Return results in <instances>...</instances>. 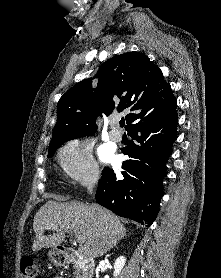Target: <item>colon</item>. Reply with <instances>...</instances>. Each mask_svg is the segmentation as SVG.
<instances>
[{"instance_id":"1","label":"colon","mask_w":221,"mask_h":278,"mask_svg":"<svg viewBox=\"0 0 221 278\" xmlns=\"http://www.w3.org/2000/svg\"><path fill=\"white\" fill-rule=\"evenodd\" d=\"M19 275L20 278H40L38 267L32 258L27 257L22 259Z\"/></svg>"}]
</instances>
